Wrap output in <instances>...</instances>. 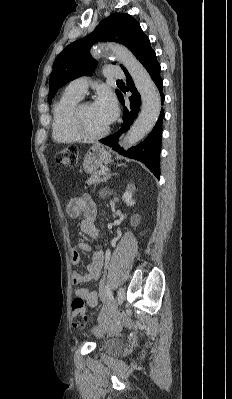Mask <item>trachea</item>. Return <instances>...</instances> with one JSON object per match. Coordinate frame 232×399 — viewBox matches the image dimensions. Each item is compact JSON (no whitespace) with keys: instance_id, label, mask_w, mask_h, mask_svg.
<instances>
[{"instance_id":"3493384b","label":"trachea","mask_w":232,"mask_h":399,"mask_svg":"<svg viewBox=\"0 0 232 399\" xmlns=\"http://www.w3.org/2000/svg\"><path fill=\"white\" fill-rule=\"evenodd\" d=\"M122 80H117V82H121Z\"/></svg>"}]
</instances>
